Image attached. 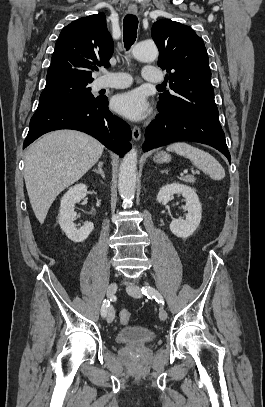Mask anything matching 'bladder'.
<instances>
[{"label":"bladder","mask_w":265,"mask_h":407,"mask_svg":"<svg viewBox=\"0 0 265 407\" xmlns=\"http://www.w3.org/2000/svg\"><path fill=\"white\" fill-rule=\"evenodd\" d=\"M155 338L153 330L141 326L124 327L115 335L117 343L126 345H145Z\"/></svg>","instance_id":"1"}]
</instances>
